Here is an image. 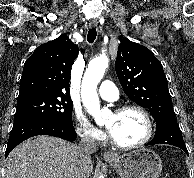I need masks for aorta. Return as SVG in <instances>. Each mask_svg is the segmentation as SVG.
I'll list each match as a JSON object with an SVG mask.
<instances>
[{
    "label": "aorta",
    "mask_w": 194,
    "mask_h": 178,
    "mask_svg": "<svg viewBox=\"0 0 194 178\" xmlns=\"http://www.w3.org/2000/svg\"><path fill=\"white\" fill-rule=\"evenodd\" d=\"M108 63L109 60L106 55L95 58L89 63L82 80L81 96L83 105L97 123L103 121L105 114V111L100 108L97 85L103 78Z\"/></svg>",
    "instance_id": "1"
}]
</instances>
